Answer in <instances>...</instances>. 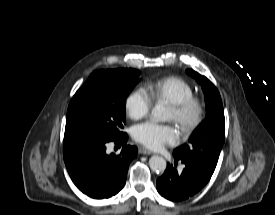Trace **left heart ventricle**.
I'll use <instances>...</instances> for the list:
<instances>
[{"label": "left heart ventricle", "mask_w": 275, "mask_h": 215, "mask_svg": "<svg viewBox=\"0 0 275 215\" xmlns=\"http://www.w3.org/2000/svg\"><path fill=\"white\" fill-rule=\"evenodd\" d=\"M167 118H168V120H172V121H174V119H175V114H174V112L171 110V108H169Z\"/></svg>", "instance_id": "b2bd125f"}]
</instances>
